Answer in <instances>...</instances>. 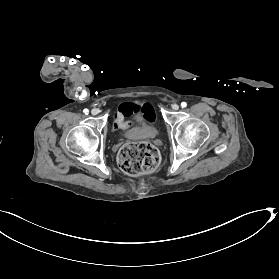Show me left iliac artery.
<instances>
[{"instance_id":"44dca946","label":"left iliac artery","mask_w":279,"mask_h":279,"mask_svg":"<svg viewBox=\"0 0 279 279\" xmlns=\"http://www.w3.org/2000/svg\"><path fill=\"white\" fill-rule=\"evenodd\" d=\"M181 106H182L183 108L186 107V106H187L186 102H182V103H181Z\"/></svg>"}]
</instances>
